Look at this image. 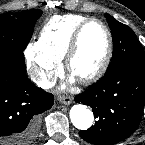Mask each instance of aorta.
<instances>
[{
	"mask_svg": "<svg viewBox=\"0 0 145 145\" xmlns=\"http://www.w3.org/2000/svg\"><path fill=\"white\" fill-rule=\"evenodd\" d=\"M69 116L73 126L79 130L89 129L94 121L92 111L81 104L74 105L70 110Z\"/></svg>",
	"mask_w": 145,
	"mask_h": 145,
	"instance_id": "1",
	"label": "aorta"
}]
</instances>
